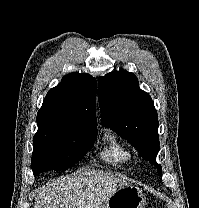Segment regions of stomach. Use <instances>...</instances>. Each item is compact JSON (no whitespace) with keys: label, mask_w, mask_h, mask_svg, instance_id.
I'll return each mask as SVG.
<instances>
[{"label":"stomach","mask_w":199,"mask_h":208,"mask_svg":"<svg viewBox=\"0 0 199 208\" xmlns=\"http://www.w3.org/2000/svg\"><path fill=\"white\" fill-rule=\"evenodd\" d=\"M145 195L138 187L125 185L97 208H144Z\"/></svg>","instance_id":"1"}]
</instances>
